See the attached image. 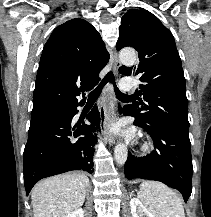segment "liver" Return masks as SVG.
Wrapping results in <instances>:
<instances>
[{
	"label": "liver",
	"instance_id": "liver-1",
	"mask_svg": "<svg viewBox=\"0 0 211 217\" xmlns=\"http://www.w3.org/2000/svg\"><path fill=\"white\" fill-rule=\"evenodd\" d=\"M89 179L82 173H69L45 179L33 188L34 217H66L85 200Z\"/></svg>",
	"mask_w": 211,
	"mask_h": 217
}]
</instances>
